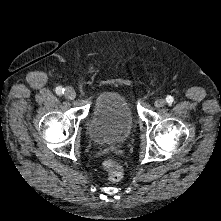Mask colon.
Returning a JSON list of instances; mask_svg holds the SVG:
<instances>
[{
    "label": "colon",
    "mask_w": 221,
    "mask_h": 221,
    "mask_svg": "<svg viewBox=\"0 0 221 221\" xmlns=\"http://www.w3.org/2000/svg\"><path fill=\"white\" fill-rule=\"evenodd\" d=\"M103 168L107 171L111 181L118 182L123 178L124 170L119 162L108 159L104 161Z\"/></svg>",
    "instance_id": "5ec220e1"
}]
</instances>
